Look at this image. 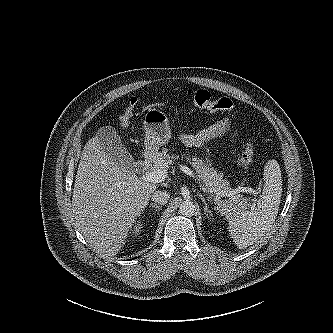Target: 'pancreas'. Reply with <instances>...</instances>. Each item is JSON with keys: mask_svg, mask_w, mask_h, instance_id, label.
Here are the masks:
<instances>
[{"mask_svg": "<svg viewBox=\"0 0 333 333\" xmlns=\"http://www.w3.org/2000/svg\"><path fill=\"white\" fill-rule=\"evenodd\" d=\"M178 156L169 155L167 149H163L161 152H157L154 156V165L152 170H158L162 167L168 169V166L173 163V160L177 159ZM192 167L198 173L199 179L203 182L204 186L212 191V194L216 197L217 203L221 208V211L225 215H230L232 212H236L243 208L240 204L244 203L242 198H233L229 196L232 191L229 187V182L224 179V175L219 173L208 163H205L201 158L194 156L188 158ZM217 193H220L218 195ZM221 197H230L229 200L221 201Z\"/></svg>", "mask_w": 333, "mask_h": 333, "instance_id": "obj_1", "label": "pancreas"}]
</instances>
